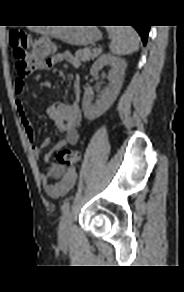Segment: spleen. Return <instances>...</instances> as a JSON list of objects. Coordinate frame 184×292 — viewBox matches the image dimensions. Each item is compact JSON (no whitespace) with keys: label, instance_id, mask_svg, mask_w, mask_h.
Listing matches in <instances>:
<instances>
[{"label":"spleen","instance_id":"spleen-1","mask_svg":"<svg viewBox=\"0 0 184 292\" xmlns=\"http://www.w3.org/2000/svg\"><path fill=\"white\" fill-rule=\"evenodd\" d=\"M107 31L111 39L109 48L112 54L123 56L139 50L140 38L132 27H108Z\"/></svg>","mask_w":184,"mask_h":292}]
</instances>
